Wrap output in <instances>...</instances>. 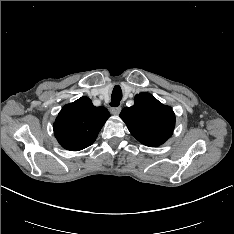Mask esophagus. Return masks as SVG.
<instances>
[{"instance_id": "obj_1", "label": "esophagus", "mask_w": 234, "mask_h": 234, "mask_svg": "<svg viewBox=\"0 0 234 234\" xmlns=\"http://www.w3.org/2000/svg\"><path fill=\"white\" fill-rule=\"evenodd\" d=\"M110 112L113 115H118L121 112V107H113V108L110 109Z\"/></svg>"}]
</instances>
